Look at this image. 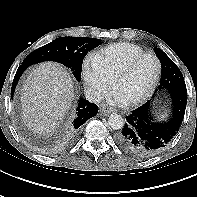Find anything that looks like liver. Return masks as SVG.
I'll list each match as a JSON object with an SVG mask.
<instances>
[{
  "label": "liver",
  "mask_w": 197,
  "mask_h": 197,
  "mask_svg": "<svg viewBox=\"0 0 197 197\" xmlns=\"http://www.w3.org/2000/svg\"><path fill=\"white\" fill-rule=\"evenodd\" d=\"M74 98L73 83L58 63L44 62L28 75L22 87V118L40 134L53 132Z\"/></svg>",
  "instance_id": "liver-1"
}]
</instances>
